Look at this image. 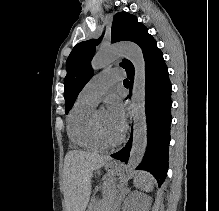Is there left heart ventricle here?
<instances>
[{
  "label": "left heart ventricle",
  "instance_id": "b2bd125f",
  "mask_svg": "<svg viewBox=\"0 0 219 211\" xmlns=\"http://www.w3.org/2000/svg\"><path fill=\"white\" fill-rule=\"evenodd\" d=\"M96 116H97L98 123L104 132H106L107 134H109L111 136H114V135L119 133L111 126V124L108 120V117H107L106 110L104 108H100L97 111Z\"/></svg>",
  "mask_w": 219,
  "mask_h": 211
}]
</instances>
